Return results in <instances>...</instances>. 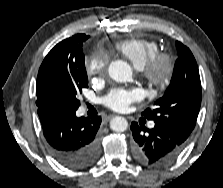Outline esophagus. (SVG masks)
Wrapping results in <instances>:
<instances>
[{"label": "esophagus", "mask_w": 223, "mask_h": 188, "mask_svg": "<svg viewBox=\"0 0 223 188\" xmlns=\"http://www.w3.org/2000/svg\"><path fill=\"white\" fill-rule=\"evenodd\" d=\"M112 117H113V115H109V116L105 117V120L109 121Z\"/></svg>", "instance_id": "obj_1"}]
</instances>
